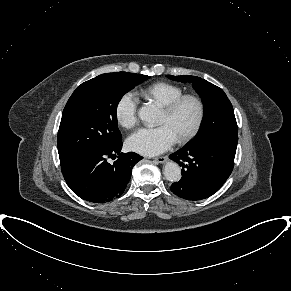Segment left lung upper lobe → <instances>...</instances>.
<instances>
[{
    "label": "left lung upper lobe",
    "instance_id": "obj_1",
    "mask_svg": "<svg viewBox=\"0 0 291 291\" xmlns=\"http://www.w3.org/2000/svg\"><path fill=\"white\" fill-rule=\"evenodd\" d=\"M167 77L175 81L192 83L194 89L202 97L204 103L203 122L198 134L189 143H199L220 133L238 134L232 104L221 88L196 76L167 75Z\"/></svg>",
    "mask_w": 291,
    "mask_h": 291
}]
</instances>
